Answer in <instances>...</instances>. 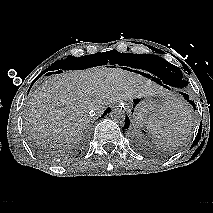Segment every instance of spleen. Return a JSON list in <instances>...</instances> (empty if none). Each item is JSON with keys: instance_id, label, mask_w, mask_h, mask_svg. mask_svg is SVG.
I'll list each match as a JSON object with an SVG mask.
<instances>
[{"instance_id": "spleen-1", "label": "spleen", "mask_w": 213, "mask_h": 213, "mask_svg": "<svg viewBox=\"0 0 213 213\" xmlns=\"http://www.w3.org/2000/svg\"><path fill=\"white\" fill-rule=\"evenodd\" d=\"M191 110L183 103L172 101L160 112L153 125L147 127L157 145L170 147L179 143L187 132Z\"/></svg>"}]
</instances>
